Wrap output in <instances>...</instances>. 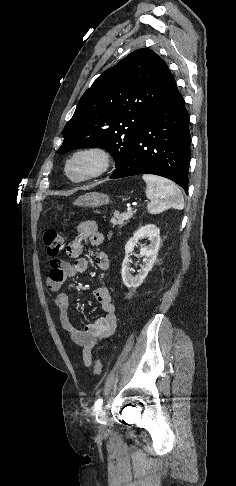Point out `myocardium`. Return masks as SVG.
<instances>
[{
    "mask_svg": "<svg viewBox=\"0 0 236 486\" xmlns=\"http://www.w3.org/2000/svg\"><path fill=\"white\" fill-rule=\"evenodd\" d=\"M92 157L95 162V168L84 176L75 178L69 172L70 165L79 157ZM114 158L112 153L102 146H87L74 151L66 160L64 165V174L73 183H85L105 175L112 167Z\"/></svg>",
    "mask_w": 236,
    "mask_h": 486,
    "instance_id": "obj_1",
    "label": "myocardium"
}]
</instances>
